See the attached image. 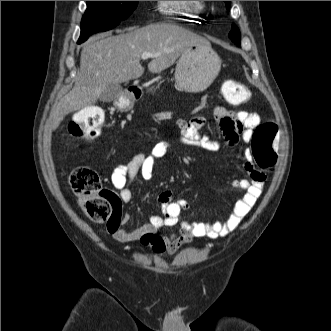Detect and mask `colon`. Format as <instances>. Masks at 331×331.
<instances>
[{"mask_svg": "<svg viewBox=\"0 0 331 331\" xmlns=\"http://www.w3.org/2000/svg\"><path fill=\"white\" fill-rule=\"evenodd\" d=\"M224 99L232 105H240L249 99L248 88L239 82L227 80L221 87ZM104 113L98 107H87L76 114L69 124V134L76 139L92 140L104 125ZM280 127L274 120L261 122L252 135V153L262 169L272 167L276 162ZM71 189L83 212L94 222L109 223L114 220L118 195L102 187L97 172L89 167L75 168L70 176Z\"/></svg>", "mask_w": 331, "mask_h": 331, "instance_id": "1", "label": "colon"}]
</instances>
